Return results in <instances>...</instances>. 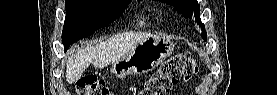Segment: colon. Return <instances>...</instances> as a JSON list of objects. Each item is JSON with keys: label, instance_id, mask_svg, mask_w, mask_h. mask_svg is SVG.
<instances>
[{"label": "colon", "instance_id": "5ec220e1", "mask_svg": "<svg viewBox=\"0 0 277 95\" xmlns=\"http://www.w3.org/2000/svg\"><path fill=\"white\" fill-rule=\"evenodd\" d=\"M198 72L195 58L190 53L176 54L145 82L138 92L139 95H165L172 86L183 79H187ZM76 91L80 95H110L111 88L102 79L94 76H86L76 83Z\"/></svg>", "mask_w": 277, "mask_h": 95}]
</instances>
